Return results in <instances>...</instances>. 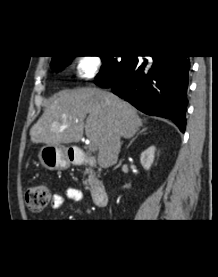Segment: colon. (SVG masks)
Segmentation results:
<instances>
[{
    "label": "colon",
    "mask_w": 218,
    "mask_h": 277,
    "mask_svg": "<svg viewBox=\"0 0 218 277\" xmlns=\"http://www.w3.org/2000/svg\"><path fill=\"white\" fill-rule=\"evenodd\" d=\"M50 198V188L42 184L30 186L25 192L26 205L32 212H41L44 210Z\"/></svg>",
    "instance_id": "obj_1"
}]
</instances>
